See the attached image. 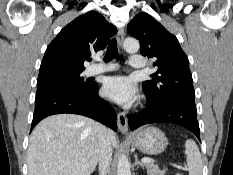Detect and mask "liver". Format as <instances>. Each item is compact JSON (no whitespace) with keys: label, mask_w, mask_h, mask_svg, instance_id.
I'll return each instance as SVG.
<instances>
[{"label":"liver","mask_w":233,"mask_h":175,"mask_svg":"<svg viewBox=\"0 0 233 175\" xmlns=\"http://www.w3.org/2000/svg\"><path fill=\"white\" fill-rule=\"evenodd\" d=\"M111 145L116 135L108 130ZM99 124L84 116L57 114L32 131L28 175H90L98 162Z\"/></svg>","instance_id":"1"}]
</instances>
